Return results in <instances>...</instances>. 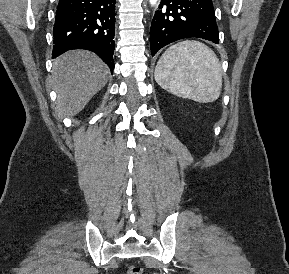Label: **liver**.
<instances>
[{"mask_svg":"<svg viewBox=\"0 0 289 274\" xmlns=\"http://www.w3.org/2000/svg\"><path fill=\"white\" fill-rule=\"evenodd\" d=\"M109 69L94 53L71 50L53 63L51 81L57 93V113L72 117L81 112L107 83Z\"/></svg>","mask_w":289,"mask_h":274,"instance_id":"1","label":"liver"}]
</instances>
